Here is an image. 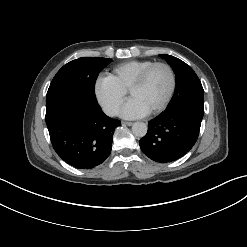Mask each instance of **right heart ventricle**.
Here are the masks:
<instances>
[{
  "label": "right heart ventricle",
  "mask_w": 247,
  "mask_h": 247,
  "mask_svg": "<svg viewBox=\"0 0 247 247\" xmlns=\"http://www.w3.org/2000/svg\"><path fill=\"white\" fill-rule=\"evenodd\" d=\"M152 63V60L126 61L113 67L109 76L120 88L127 91L138 75Z\"/></svg>",
  "instance_id": "right-heart-ventricle-1"
}]
</instances>
